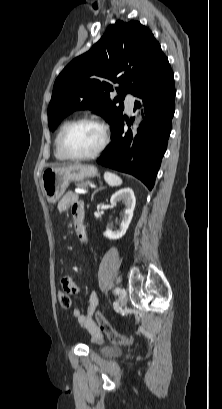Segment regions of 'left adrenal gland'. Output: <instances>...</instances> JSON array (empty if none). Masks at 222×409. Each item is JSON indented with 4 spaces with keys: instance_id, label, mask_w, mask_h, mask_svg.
Returning a JSON list of instances; mask_svg holds the SVG:
<instances>
[{
    "instance_id": "left-adrenal-gland-1",
    "label": "left adrenal gland",
    "mask_w": 222,
    "mask_h": 409,
    "mask_svg": "<svg viewBox=\"0 0 222 409\" xmlns=\"http://www.w3.org/2000/svg\"><path fill=\"white\" fill-rule=\"evenodd\" d=\"M102 188H103V187H100V188L96 189V190L93 192V194H92V196H91V200H93L94 195H95L99 190H101Z\"/></svg>"
}]
</instances>
